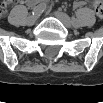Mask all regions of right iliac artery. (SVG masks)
<instances>
[{
  "instance_id": "obj_1",
  "label": "right iliac artery",
  "mask_w": 103,
  "mask_h": 103,
  "mask_svg": "<svg viewBox=\"0 0 103 103\" xmlns=\"http://www.w3.org/2000/svg\"><path fill=\"white\" fill-rule=\"evenodd\" d=\"M46 8V4H39L37 6H35L32 10V15H35V16H39L42 14V12L45 10Z\"/></svg>"
}]
</instances>
